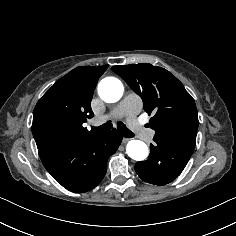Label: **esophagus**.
Listing matches in <instances>:
<instances>
[{
  "label": "esophagus",
  "mask_w": 236,
  "mask_h": 236,
  "mask_svg": "<svg viewBox=\"0 0 236 236\" xmlns=\"http://www.w3.org/2000/svg\"><path fill=\"white\" fill-rule=\"evenodd\" d=\"M129 140H130V138H126V137L123 138L124 143L128 142Z\"/></svg>",
  "instance_id": "1"
}]
</instances>
